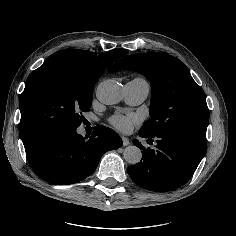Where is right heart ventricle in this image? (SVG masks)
Returning <instances> with one entry per match:
<instances>
[{"label": "right heart ventricle", "instance_id": "e07e8e85", "mask_svg": "<svg viewBox=\"0 0 236 236\" xmlns=\"http://www.w3.org/2000/svg\"><path fill=\"white\" fill-rule=\"evenodd\" d=\"M134 80L138 81L141 84L148 85L147 81L145 79H143V78H136Z\"/></svg>", "mask_w": 236, "mask_h": 236}]
</instances>
